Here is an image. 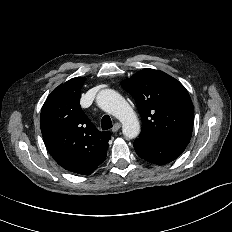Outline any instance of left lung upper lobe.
<instances>
[{
	"label": "left lung upper lobe",
	"instance_id": "5c2ea615",
	"mask_svg": "<svg viewBox=\"0 0 232 232\" xmlns=\"http://www.w3.org/2000/svg\"><path fill=\"white\" fill-rule=\"evenodd\" d=\"M121 86L134 97L141 115L139 138L191 139L194 107L179 81L162 71L143 69Z\"/></svg>",
	"mask_w": 232,
	"mask_h": 232
}]
</instances>
